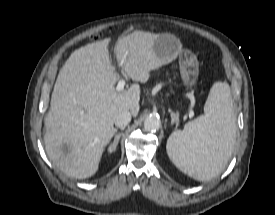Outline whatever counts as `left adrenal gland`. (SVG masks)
Returning a JSON list of instances; mask_svg holds the SVG:
<instances>
[{
	"label": "left adrenal gland",
	"mask_w": 275,
	"mask_h": 215,
	"mask_svg": "<svg viewBox=\"0 0 275 215\" xmlns=\"http://www.w3.org/2000/svg\"><path fill=\"white\" fill-rule=\"evenodd\" d=\"M176 124V127L178 126L179 123V114L178 112H171V125Z\"/></svg>",
	"instance_id": "obj_1"
}]
</instances>
